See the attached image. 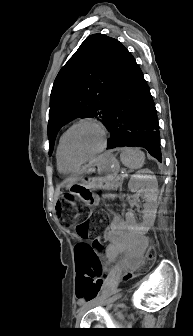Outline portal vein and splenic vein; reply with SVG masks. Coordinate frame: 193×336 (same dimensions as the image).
Instances as JSON below:
<instances>
[{"label": "portal vein and splenic vein", "instance_id": "1", "mask_svg": "<svg viewBox=\"0 0 193 336\" xmlns=\"http://www.w3.org/2000/svg\"><path fill=\"white\" fill-rule=\"evenodd\" d=\"M124 176H125V174H123V173L120 175V177H122V178H123Z\"/></svg>", "mask_w": 193, "mask_h": 336}]
</instances>
